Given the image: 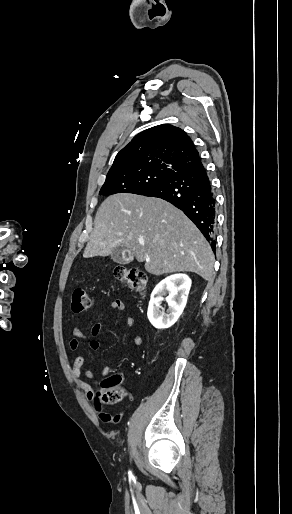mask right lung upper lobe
I'll return each mask as SVG.
<instances>
[{
    "mask_svg": "<svg viewBox=\"0 0 292 514\" xmlns=\"http://www.w3.org/2000/svg\"><path fill=\"white\" fill-rule=\"evenodd\" d=\"M201 163L190 137L180 128L159 125L137 134L115 157L106 177L144 172L174 174Z\"/></svg>",
    "mask_w": 292,
    "mask_h": 514,
    "instance_id": "obj_1",
    "label": "right lung upper lobe"
}]
</instances>
